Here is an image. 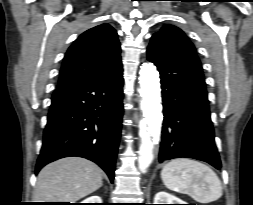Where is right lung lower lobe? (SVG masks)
<instances>
[{"label":"right lung lower lobe","mask_w":253,"mask_h":205,"mask_svg":"<svg viewBox=\"0 0 253 205\" xmlns=\"http://www.w3.org/2000/svg\"><path fill=\"white\" fill-rule=\"evenodd\" d=\"M122 65L103 76L57 88L52 96L36 173L68 156L97 163L114 180L123 116Z\"/></svg>","instance_id":"right-lung-lower-lobe-1"}]
</instances>
